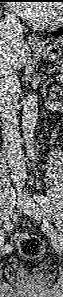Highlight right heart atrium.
I'll return each instance as SVG.
<instances>
[{
	"instance_id": "right-heart-atrium-1",
	"label": "right heart atrium",
	"mask_w": 63,
	"mask_h": 297,
	"mask_svg": "<svg viewBox=\"0 0 63 297\" xmlns=\"http://www.w3.org/2000/svg\"><path fill=\"white\" fill-rule=\"evenodd\" d=\"M10 17H11V18H14L15 16H14V15H10Z\"/></svg>"
}]
</instances>
